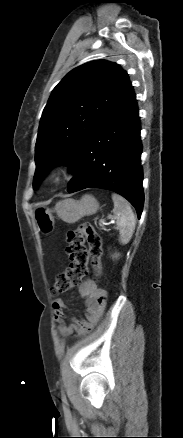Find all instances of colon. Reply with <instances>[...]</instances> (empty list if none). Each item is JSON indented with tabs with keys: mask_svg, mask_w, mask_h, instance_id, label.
<instances>
[{
	"mask_svg": "<svg viewBox=\"0 0 183 438\" xmlns=\"http://www.w3.org/2000/svg\"><path fill=\"white\" fill-rule=\"evenodd\" d=\"M67 254L70 259L66 271L58 274L51 288L54 295L71 290L89 273V262L96 275L100 273L101 238L89 223L68 232Z\"/></svg>",
	"mask_w": 183,
	"mask_h": 438,
	"instance_id": "obj_1",
	"label": "colon"
}]
</instances>
